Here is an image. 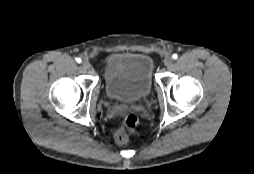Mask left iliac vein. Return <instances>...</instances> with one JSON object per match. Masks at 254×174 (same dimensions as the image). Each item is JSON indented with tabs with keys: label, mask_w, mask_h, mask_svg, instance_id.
Wrapping results in <instances>:
<instances>
[{
	"label": "left iliac vein",
	"mask_w": 254,
	"mask_h": 174,
	"mask_svg": "<svg viewBox=\"0 0 254 174\" xmlns=\"http://www.w3.org/2000/svg\"><path fill=\"white\" fill-rule=\"evenodd\" d=\"M173 64V59L171 57H166L165 60H164V65L166 67H171Z\"/></svg>",
	"instance_id": "4c4485c4"
}]
</instances>
